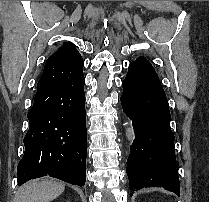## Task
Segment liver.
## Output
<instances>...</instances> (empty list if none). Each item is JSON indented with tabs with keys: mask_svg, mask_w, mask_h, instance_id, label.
Here are the masks:
<instances>
[{
	"mask_svg": "<svg viewBox=\"0 0 209 202\" xmlns=\"http://www.w3.org/2000/svg\"><path fill=\"white\" fill-rule=\"evenodd\" d=\"M65 185L61 182L40 180L23 185L15 202H50L63 193Z\"/></svg>",
	"mask_w": 209,
	"mask_h": 202,
	"instance_id": "obj_1",
	"label": "liver"
}]
</instances>
